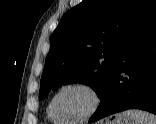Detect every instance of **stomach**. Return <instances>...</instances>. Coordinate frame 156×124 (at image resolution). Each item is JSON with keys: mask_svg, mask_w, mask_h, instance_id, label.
I'll use <instances>...</instances> for the list:
<instances>
[{"mask_svg": "<svg viewBox=\"0 0 156 124\" xmlns=\"http://www.w3.org/2000/svg\"><path fill=\"white\" fill-rule=\"evenodd\" d=\"M105 124H132L129 120L125 119L121 114L116 115L115 119L106 121Z\"/></svg>", "mask_w": 156, "mask_h": 124, "instance_id": "obj_1", "label": "stomach"}]
</instances>
